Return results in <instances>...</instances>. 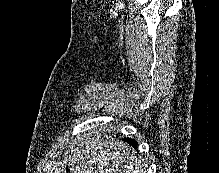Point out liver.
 Masks as SVG:
<instances>
[{"label":"liver","mask_w":219,"mask_h":173,"mask_svg":"<svg viewBox=\"0 0 219 173\" xmlns=\"http://www.w3.org/2000/svg\"><path fill=\"white\" fill-rule=\"evenodd\" d=\"M65 164L73 173H145L131 146L95 132L78 138L66 152Z\"/></svg>","instance_id":"liver-1"}]
</instances>
